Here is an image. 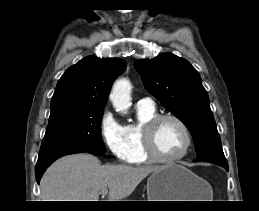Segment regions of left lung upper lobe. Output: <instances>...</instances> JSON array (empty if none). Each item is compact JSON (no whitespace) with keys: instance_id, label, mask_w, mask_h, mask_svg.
I'll use <instances>...</instances> for the list:
<instances>
[{"instance_id":"left-lung-upper-lobe-1","label":"left lung upper lobe","mask_w":259,"mask_h":211,"mask_svg":"<svg viewBox=\"0 0 259 211\" xmlns=\"http://www.w3.org/2000/svg\"><path fill=\"white\" fill-rule=\"evenodd\" d=\"M134 65L146 89L189 129L197 152L195 161L227 165L208 94L193 66L168 52Z\"/></svg>"}]
</instances>
